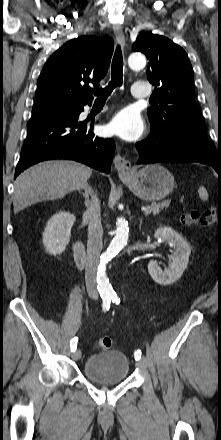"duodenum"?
<instances>
[{
	"mask_svg": "<svg viewBox=\"0 0 221 440\" xmlns=\"http://www.w3.org/2000/svg\"><path fill=\"white\" fill-rule=\"evenodd\" d=\"M73 251H74V259H75L77 266L84 267V265L86 264L87 257H86V251H85V247H84L83 243L80 241H77L74 244Z\"/></svg>",
	"mask_w": 221,
	"mask_h": 440,
	"instance_id": "410a0bca",
	"label": "duodenum"
}]
</instances>
